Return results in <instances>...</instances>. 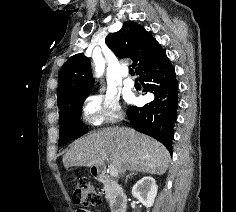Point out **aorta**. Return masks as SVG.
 <instances>
[{"instance_id":"1","label":"aorta","mask_w":236,"mask_h":212,"mask_svg":"<svg viewBox=\"0 0 236 212\" xmlns=\"http://www.w3.org/2000/svg\"><path fill=\"white\" fill-rule=\"evenodd\" d=\"M94 62H95V70L97 73V76L100 77L102 76L104 72V61L101 55H94L93 57Z\"/></svg>"}]
</instances>
